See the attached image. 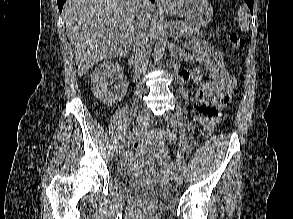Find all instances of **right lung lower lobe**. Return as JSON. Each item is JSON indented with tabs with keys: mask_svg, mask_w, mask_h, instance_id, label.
<instances>
[{
	"mask_svg": "<svg viewBox=\"0 0 293 219\" xmlns=\"http://www.w3.org/2000/svg\"><path fill=\"white\" fill-rule=\"evenodd\" d=\"M66 0H57V4H58V7H59V11L61 12L62 11V8H63V4L65 3ZM151 2H154L155 0H150Z\"/></svg>",
	"mask_w": 293,
	"mask_h": 219,
	"instance_id": "right-lung-lower-lobe-1",
	"label": "right lung lower lobe"
}]
</instances>
